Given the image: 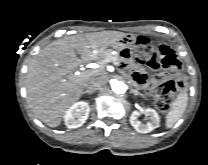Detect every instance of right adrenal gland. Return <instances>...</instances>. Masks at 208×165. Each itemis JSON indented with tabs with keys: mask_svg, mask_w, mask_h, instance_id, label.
Listing matches in <instances>:
<instances>
[{
	"mask_svg": "<svg viewBox=\"0 0 208 165\" xmlns=\"http://www.w3.org/2000/svg\"><path fill=\"white\" fill-rule=\"evenodd\" d=\"M83 94L86 95V94H91V93H89L88 91H85Z\"/></svg>",
	"mask_w": 208,
	"mask_h": 165,
	"instance_id": "2a0ac1e0",
	"label": "right adrenal gland"
}]
</instances>
